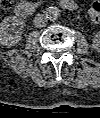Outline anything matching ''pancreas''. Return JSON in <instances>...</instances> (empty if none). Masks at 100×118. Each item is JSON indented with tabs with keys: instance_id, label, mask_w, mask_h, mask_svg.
<instances>
[{
	"instance_id": "cf45deb5",
	"label": "pancreas",
	"mask_w": 100,
	"mask_h": 118,
	"mask_svg": "<svg viewBox=\"0 0 100 118\" xmlns=\"http://www.w3.org/2000/svg\"><path fill=\"white\" fill-rule=\"evenodd\" d=\"M41 2H37V5H39Z\"/></svg>"
}]
</instances>
